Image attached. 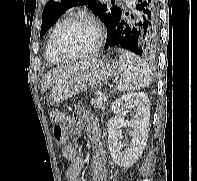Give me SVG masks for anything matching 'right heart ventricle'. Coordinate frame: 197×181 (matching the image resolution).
<instances>
[{
    "instance_id": "obj_1",
    "label": "right heart ventricle",
    "mask_w": 197,
    "mask_h": 181,
    "mask_svg": "<svg viewBox=\"0 0 197 181\" xmlns=\"http://www.w3.org/2000/svg\"><path fill=\"white\" fill-rule=\"evenodd\" d=\"M70 18L68 14L62 15L52 26L49 36L47 38L46 46H45V59L50 64H57L60 60L57 58L54 51V41L55 37L62 27V25Z\"/></svg>"
}]
</instances>
